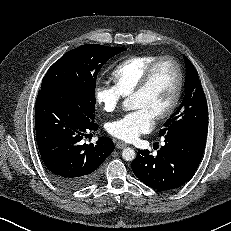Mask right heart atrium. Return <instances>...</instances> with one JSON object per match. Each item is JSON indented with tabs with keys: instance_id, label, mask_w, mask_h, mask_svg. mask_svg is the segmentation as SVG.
Wrapping results in <instances>:
<instances>
[{
	"instance_id": "1",
	"label": "right heart atrium",
	"mask_w": 231,
	"mask_h": 231,
	"mask_svg": "<svg viewBox=\"0 0 231 231\" xmlns=\"http://www.w3.org/2000/svg\"><path fill=\"white\" fill-rule=\"evenodd\" d=\"M94 97L105 112H113L120 105L124 96L115 85L100 83L95 87Z\"/></svg>"
}]
</instances>
